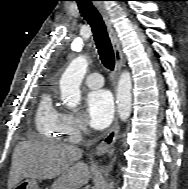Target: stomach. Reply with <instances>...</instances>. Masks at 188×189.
I'll use <instances>...</instances> for the list:
<instances>
[{
	"label": "stomach",
	"instance_id": "0dacf381",
	"mask_svg": "<svg viewBox=\"0 0 188 189\" xmlns=\"http://www.w3.org/2000/svg\"><path fill=\"white\" fill-rule=\"evenodd\" d=\"M14 189H40L37 180L28 178L17 184Z\"/></svg>",
	"mask_w": 188,
	"mask_h": 189
}]
</instances>
